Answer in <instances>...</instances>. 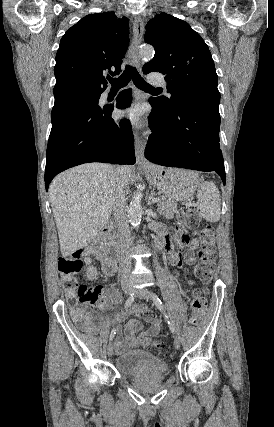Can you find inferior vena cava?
<instances>
[{
    "mask_svg": "<svg viewBox=\"0 0 274 427\" xmlns=\"http://www.w3.org/2000/svg\"><path fill=\"white\" fill-rule=\"evenodd\" d=\"M124 184L125 182H120V184H118L113 194L112 208L116 221V227H118L119 231L120 247L121 249H128L132 241L126 214L127 206ZM122 263H125V265H130L131 267V257H129V259H123Z\"/></svg>",
    "mask_w": 274,
    "mask_h": 427,
    "instance_id": "obj_1",
    "label": "inferior vena cava"
}]
</instances>
